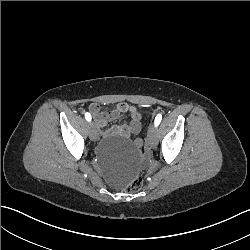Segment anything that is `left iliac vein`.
I'll use <instances>...</instances> for the list:
<instances>
[{"mask_svg":"<svg viewBox=\"0 0 250 250\" xmlns=\"http://www.w3.org/2000/svg\"><path fill=\"white\" fill-rule=\"evenodd\" d=\"M147 141L150 147L154 148L157 146V130L154 124H151L147 133Z\"/></svg>","mask_w":250,"mask_h":250,"instance_id":"4c4485c4","label":"left iliac vein"}]
</instances>
